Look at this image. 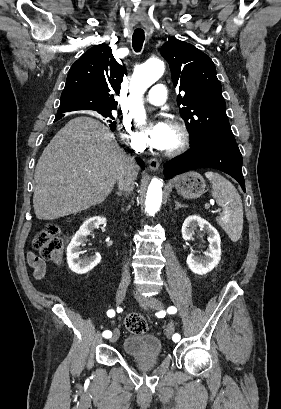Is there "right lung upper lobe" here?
<instances>
[{"label": "right lung upper lobe", "mask_w": 281, "mask_h": 409, "mask_svg": "<svg viewBox=\"0 0 281 409\" xmlns=\"http://www.w3.org/2000/svg\"><path fill=\"white\" fill-rule=\"evenodd\" d=\"M124 74L125 68L117 63L107 44L92 47L71 66L57 115L77 110L116 109L112 93L119 94Z\"/></svg>", "instance_id": "right-lung-upper-lobe-1"}]
</instances>
